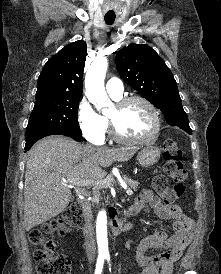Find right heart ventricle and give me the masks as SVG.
Wrapping results in <instances>:
<instances>
[{"label":"right heart ventricle","mask_w":221,"mask_h":274,"mask_svg":"<svg viewBox=\"0 0 221 274\" xmlns=\"http://www.w3.org/2000/svg\"><path fill=\"white\" fill-rule=\"evenodd\" d=\"M115 100H119L120 99V97H114V96H112ZM105 118V120L107 121V118L106 117H104ZM107 124H108V121H107Z\"/></svg>","instance_id":"e07e8e85"}]
</instances>
